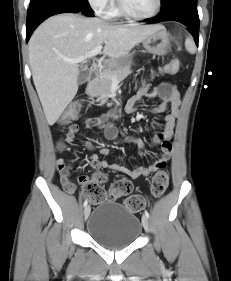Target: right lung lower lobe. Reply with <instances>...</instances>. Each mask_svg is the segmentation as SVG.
Here are the masks:
<instances>
[{
    "label": "right lung lower lobe",
    "instance_id": "right-lung-lower-lobe-1",
    "mask_svg": "<svg viewBox=\"0 0 231 281\" xmlns=\"http://www.w3.org/2000/svg\"><path fill=\"white\" fill-rule=\"evenodd\" d=\"M83 13L93 17L87 0H30L27 12L26 42L34 30L48 17L60 13Z\"/></svg>",
    "mask_w": 231,
    "mask_h": 281
}]
</instances>
